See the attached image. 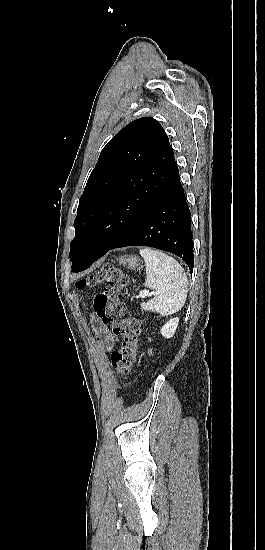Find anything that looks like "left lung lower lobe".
<instances>
[{
  "label": "left lung lower lobe",
  "instance_id": "0a47b994",
  "mask_svg": "<svg viewBox=\"0 0 265 550\" xmlns=\"http://www.w3.org/2000/svg\"><path fill=\"white\" fill-rule=\"evenodd\" d=\"M192 238L190 210L178 173L170 185L109 249L90 253L73 271L79 272L89 268L111 249L125 246H149L181 257L192 272L194 266Z\"/></svg>",
  "mask_w": 265,
  "mask_h": 550
}]
</instances>
